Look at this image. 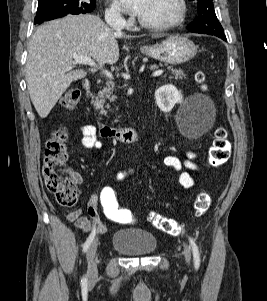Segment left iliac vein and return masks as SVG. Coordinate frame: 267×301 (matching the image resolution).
Listing matches in <instances>:
<instances>
[{
    "instance_id": "4c4485c4",
    "label": "left iliac vein",
    "mask_w": 267,
    "mask_h": 301,
    "mask_svg": "<svg viewBox=\"0 0 267 301\" xmlns=\"http://www.w3.org/2000/svg\"><path fill=\"white\" fill-rule=\"evenodd\" d=\"M184 257L187 263H190L191 252L187 244H184Z\"/></svg>"
}]
</instances>
